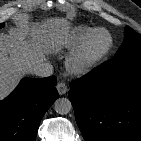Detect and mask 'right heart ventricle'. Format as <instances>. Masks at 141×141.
Wrapping results in <instances>:
<instances>
[{"mask_svg": "<svg viewBox=\"0 0 141 141\" xmlns=\"http://www.w3.org/2000/svg\"><path fill=\"white\" fill-rule=\"evenodd\" d=\"M93 29L87 25H77L62 38L60 45L65 49H75Z\"/></svg>", "mask_w": 141, "mask_h": 141, "instance_id": "obj_1", "label": "right heart ventricle"}]
</instances>
